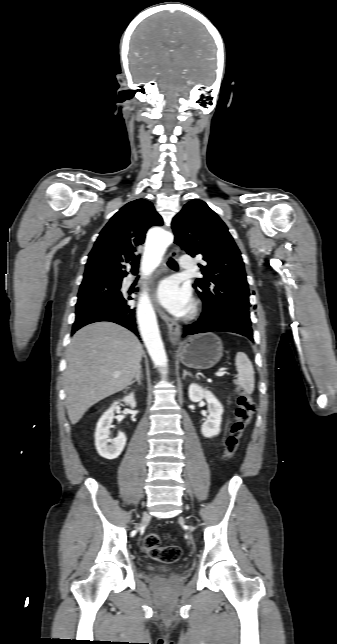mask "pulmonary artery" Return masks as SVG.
Masks as SVG:
<instances>
[{
    "mask_svg": "<svg viewBox=\"0 0 337 644\" xmlns=\"http://www.w3.org/2000/svg\"><path fill=\"white\" fill-rule=\"evenodd\" d=\"M179 263L182 269H191L193 267V258L189 255H183L180 257Z\"/></svg>",
    "mask_w": 337,
    "mask_h": 644,
    "instance_id": "e3ab8cb5",
    "label": "pulmonary artery"
}]
</instances>
